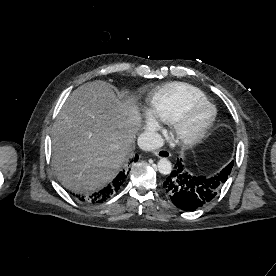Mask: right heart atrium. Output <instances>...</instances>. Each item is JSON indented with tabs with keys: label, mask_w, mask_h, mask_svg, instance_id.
I'll return each instance as SVG.
<instances>
[{
	"label": "right heart atrium",
	"mask_w": 276,
	"mask_h": 276,
	"mask_svg": "<svg viewBox=\"0 0 276 276\" xmlns=\"http://www.w3.org/2000/svg\"><path fill=\"white\" fill-rule=\"evenodd\" d=\"M148 127L151 130H156L158 128V124H157V122L154 119H149V121H148Z\"/></svg>",
	"instance_id": "right-heart-atrium-1"
}]
</instances>
